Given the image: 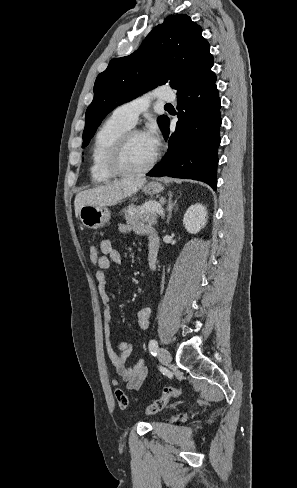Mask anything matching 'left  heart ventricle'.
<instances>
[{"label": "left heart ventricle", "instance_id": "1", "mask_svg": "<svg viewBox=\"0 0 297 488\" xmlns=\"http://www.w3.org/2000/svg\"><path fill=\"white\" fill-rule=\"evenodd\" d=\"M155 152L143 134L134 135L125 150L124 165L129 169L144 167L153 158Z\"/></svg>", "mask_w": 297, "mask_h": 488}]
</instances>
